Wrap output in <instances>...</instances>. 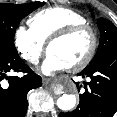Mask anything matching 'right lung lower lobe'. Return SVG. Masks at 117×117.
Segmentation results:
<instances>
[{
  "instance_id": "right-lung-lower-lobe-1",
  "label": "right lung lower lobe",
  "mask_w": 117,
  "mask_h": 117,
  "mask_svg": "<svg viewBox=\"0 0 117 117\" xmlns=\"http://www.w3.org/2000/svg\"><path fill=\"white\" fill-rule=\"evenodd\" d=\"M10 71L23 72L21 78L7 76ZM42 85L35 74L18 56H0V117H24L27 111V93Z\"/></svg>"
}]
</instances>
